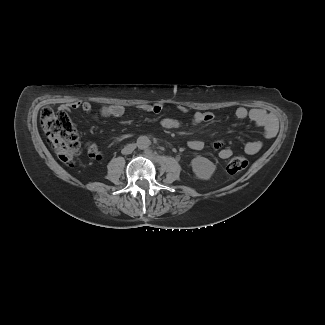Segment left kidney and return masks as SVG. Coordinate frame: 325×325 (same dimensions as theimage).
I'll list each match as a JSON object with an SVG mask.
<instances>
[{
  "instance_id": "obj_1",
  "label": "left kidney",
  "mask_w": 325,
  "mask_h": 325,
  "mask_svg": "<svg viewBox=\"0 0 325 325\" xmlns=\"http://www.w3.org/2000/svg\"><path fill=\"white\" fill-rule=\"evenodd\" d=\"M191 166L196 177L201 180H209L216 170L213 162L201 156L193 158Z\"/></svg>"
}]
</instances>
